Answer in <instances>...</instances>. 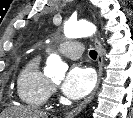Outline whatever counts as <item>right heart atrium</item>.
Listing matches in <instances>:
<instances>
[{
  "label": "right heart atrium",
  "instance_id": "obj_1",
  "mask_svg": "<svg viewBox=\"0 0 133 118\" xmlns=\"http://www.w3.org/2000/svg\"><path fill=\"white\" fill-rule=\"evenodd\" d=\"M55 91V89L54 88H52V92H54Z\"/></svg>",
  "mask_w": 133,
  "mask_h": 118
}]
</instances>
